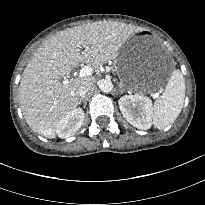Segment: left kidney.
Returning a JSON list of instances; mask_svg holds the SVG:
<instances>
[{"label":"left kidney","mask_w":205,"mask_h":205,"mask_svg":"<svg viewBox=\"0 0 205 205\" xmlns=\"http://www.w3.org/2000/svg\"><path fill=\"white\" fill-rule=\"evenodd\" d=\"M119 108L124 118L134 127L147 130L152 125V101L142 95H125L119 99Z\"/></svg>","instance_id":"5707ae66"}]
</instances>
